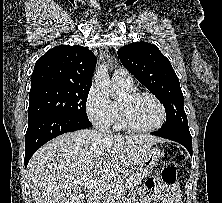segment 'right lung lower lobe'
<instances>
[{
    "label": "right lung lower lobe",
    "instance_id": "1",
    "mask_svg": "<svg viewBox=\"0 0 222 203\" xmlns=\"http://www.w3.org/2000/svg\"><path fill=\"white\" fill-rule=\"evenodd\" d=\"M91 126L87 119L58 115H44L29 120L25 139V166L32 155L49 140L63 133Z\"/></svg>",
    "mask_w": 222,
    "mask_h": 203
}]
</instances>
